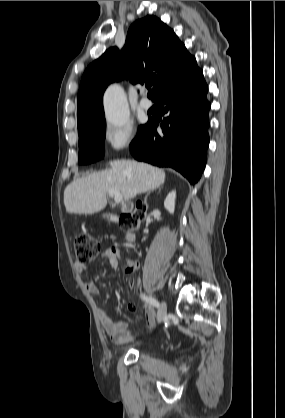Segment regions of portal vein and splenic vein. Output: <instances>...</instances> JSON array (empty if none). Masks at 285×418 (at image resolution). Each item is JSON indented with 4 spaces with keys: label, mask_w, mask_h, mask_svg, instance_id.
I'll return each instance as SVG.
<instances>
[{
    "label": "portal vein and splenic vein",
    "mask_w": 285,
    "mask_h": 418,
    "mask_svg": "<svg viewBox=\"0 0 285 418\" xmlns=\"http://www.w3.org/2000/svg\"><path fill=\"white\" fill-rule=\"evenodd\" d=\"M111 196L114 197V201L115 203H120L123 199L122 195L120 192L116 191V190H109L108 192Z\"/></svg>",
    "instance_id": "portal-vein-and-splenic-vein-1"
}]
</instances>
